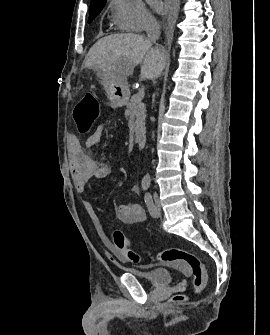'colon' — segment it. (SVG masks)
Returning <instances> with one entry per match:
<instances>
[{"instance_id": "1", "label": "colon", "mask_w": 270, "mask_h": 335, "mask_svg": "<svg viewBox=\"0 0 270 335\" xmlns=\"http://www.w3.org/2000/svg\"><path fill=\"white\" fill-rule=\"evenodd\" d=\"M100 114L97 98L92 94H85L75 110H72L74 123H77L78 132L86 134L96 123ZM113 239L117 252L124 260L133 264H140L141 257L131 247L125 235L120 231H115ZM157 259L168 262L180 269L186 270L192 276L193 290L195 293L201 292L207 281L206 272L201 259L190 250L185 248H167L160 251ZM176 300H184V294H177Z\"/></svg>"}]
</instances>
